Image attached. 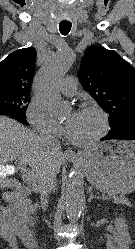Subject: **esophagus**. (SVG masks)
<instances>
[{"label": "esophagus", "mask_w": 135, "mask_h": 249, "mask_svg": "<svg viewBox=\"0 0 135 249\" xmlns=\"http://www.w3.org/2000/svg\"><path fill=\"white\" fill-rule=\"evenodd\" d=\"M63 155L67 159H75V158H77V154L72 149L65 150Z\"/></svg>", "instance_id": "34e87169"}]
</instances>
